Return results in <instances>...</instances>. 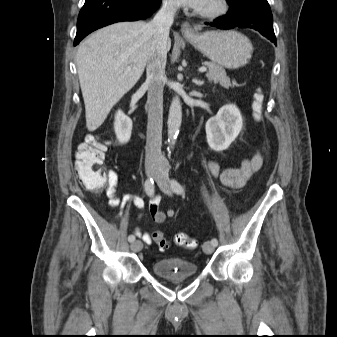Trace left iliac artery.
Wrapping results in <instances>:
<instances>
[{"label":"left iliac artery","mask_w":337,"mask_h":337,"mask_svg":"<svg viewBox=\"0 0 337 337\" xmlns=\"http://www.w3.org/2000/svg\"><path fill=\"white\" fill-rule=\"evenodd\" d=\"M171 187H172V190L177 193V194H183L184 193V188L183 186L175 179H172L171 180ZM211 243L214 245V246H217L218 245V240L216 238H213L211 240Z\"/></svg>","instance_id":"44dca946"}]
</instances>
